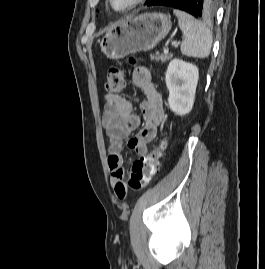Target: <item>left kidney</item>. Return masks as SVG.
I'll use <instances>...</instances> for the list:
<instances>
[{
    "instance_id": "left-kidney-1",
    "label": "left kidney",
    "mask_w": 265,
    "mask_h": 269,
    "mask_svg": "<svg viewBox=\"0 0 265 269\" xmlns=\"http://www.w3.org/2000/svg\"><path fill=\"white\" fill-rule=\"evenodd\" d=\"M198 79L196 65L181 59H173L169 63L165 75L168 104L176 115L183 116L192 110Z\"/></svg>"
}]
</instances>
